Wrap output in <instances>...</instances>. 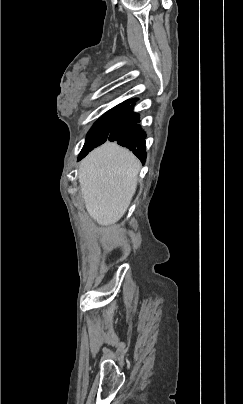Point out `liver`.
<instances>
[{"instance_id":"obj_1","label":"liver","mask_w":243,"mask_h":404,"mask_svg":"<svg viewBox=\"0 0 243 404\" xmlns=\"http://www.w3.org/2000/svg\"><path fill=\"white\" fill-rule=\"evenodd\" d=\"M140 162L126 148L106 142L79 166L78 182L85 208L100 226L116 224L136 192Z\"/></svg>"}]
</instances>
